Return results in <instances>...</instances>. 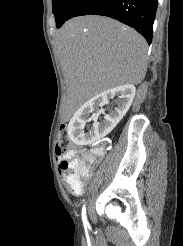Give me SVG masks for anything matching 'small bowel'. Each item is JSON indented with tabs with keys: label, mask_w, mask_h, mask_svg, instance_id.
<instances>
[{
	"label": "small bowel",
	"mask_w": 183,
	"mask_h": 246,
	"mask_svg": "<svg viewBox=\"0 0 183 246\" xmlns=\"http://www.w3.org/2000/svg\"><path fill=\"white\" fill-rule=\"evenodd\" d=\"M74 155H75V151L71 150L64 157H61L60 161L62 159H72L74 157ZM62 177H63V180L67 183V185L69 187V178H68L67 174L65 172H63V171H62ZM82 189L80 191H78V192H71V193H73L75 195H79V194L82 193Z\"/></svg>",
	"instance_id": "1"
}]
</instances>
